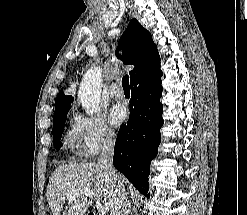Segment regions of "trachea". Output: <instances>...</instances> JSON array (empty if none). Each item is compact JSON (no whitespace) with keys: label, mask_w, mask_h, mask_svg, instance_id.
<instances>
[{"label":"trachea","mask_w":247,"mask_h":215,"mask_svg":"<svg viewBox=\"0 0 247 215\" xmlns=\"http://www.w3.org/2000/svg\"><path fill=\"white\" fill-rule=\"evenodd\" d=\"M122 87L124 90H130V85H129V76L125 75L122 78Z\"/></svg>","instance_id":"3493384b"}]
</instances>
